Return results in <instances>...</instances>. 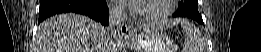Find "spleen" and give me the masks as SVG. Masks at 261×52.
<instances>
[{
  "mask_svg": "<svg viewBox=\"0 0 261 52\" xmlns=\"http://www.w3.org/2000/svg\"><path fill=\"white\" fill-rule=\"evenodd\" d=\"M181 27L186 34L185 49L188 52H195L200 46V31L199 29L188 21H183Z\"/></svg>",
  "mask_w": 261,
  "mask_h": 52,
  "instance_id": "3e777b00",
  "label": "spleen"
}]
</instances>
